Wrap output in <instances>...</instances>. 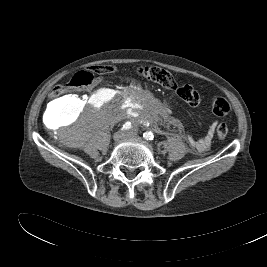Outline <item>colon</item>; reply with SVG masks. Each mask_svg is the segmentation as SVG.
I'll return each mask as SVG.
<instances>
[{
	"label": "colon",
	"instance_id": "obj_1",
	"mask_svg": "<svg viewBox=\"0 0 267 267\" xmlns=\"http://www.w3.org/2000/svg\"><path fill=\"white\" fill-rule=\"evenodd\" d=\"M114 71L112 65L94 66L91 71H80L76 73L68 83L56 86L51 92V100H59L66 96L70 89H84L93 85L95 78L93 73L107 74ZM138 74L145 80L155 83L161 87L175 89L178 96L189 106L196 107L202 102L200 93L191 85L179 86L173 75L157 66H146L138 69ZM71 99V98H70ZM212 111L218 116L229 114L231 107L224 97H214L210 100ZM228 134L226 124L221 123L216 128V136L219 140H224Z\"/></svg>",
	"mask_w": 267,
	"mask_h": 267
}]
</instances>
